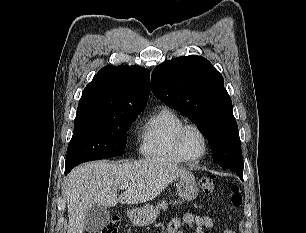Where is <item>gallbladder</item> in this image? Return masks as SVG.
<instances>
[{"label": "gallbladder", "mask_w": 306, "mask_h": 233, "mask_svg": "<svg viewBox=\"0 0 306 233\" xmlns=\"http://www.w3.org/2000/svg\"><path fill=\"white\" fill-rule=\"evenodd\" d=\"M110 212L108 208L95 204L85 216V230L89 233H96L102 230L109 222Z\"/></svg>", "instance_id": "1"}]
</instances>
